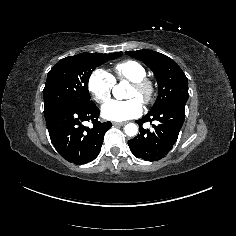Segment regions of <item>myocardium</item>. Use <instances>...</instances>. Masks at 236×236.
<instances>
[{"instance_id": "obj_1", "label": "myocardium", "mask_w": 236, "mask_h": 236, "mask_svg": "<svg viewBox=\"0 0 236 236\" xmlns=\"http://www.w3.org/2000/svg\"><path fill=\"white\" fill-rule=\"evenodd\" d=\"M130 86L137 89L141 93V103L143 105L149 104L154 95V84L147 77L138 78L130 81Z\"/></svg>"}]
</instances>
